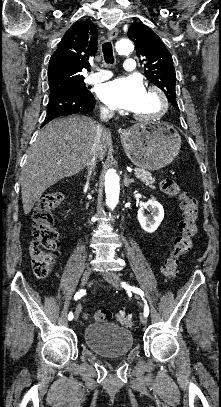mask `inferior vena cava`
Returning <instances> with one entry per match:
<instances>
[{"instance_id":"obj_1","label":"inferior vena cava","mask_w":221,"mask_h":407,"mask_svg":"<svg viewBox=\"0 0 221 407\" xmlns=\"http://www.w3.org/2000/svg\"><path fill=\"white\" fill-rule=\"evenodd\" d=\"M114 116V112L107 107H100V119L102 121H108ZM106 132V129L103 128L101 124H97L96 126V135L94 138V143L92 145L91 153H90V159L88 162V167L89 171L88 174L91 176L92 170H94L95 167V162L99 158V155L101 153V141L104 133ZM89 179V177H88Z\"/></svg>"}]
</instances>
